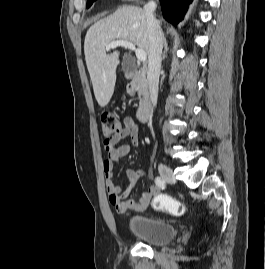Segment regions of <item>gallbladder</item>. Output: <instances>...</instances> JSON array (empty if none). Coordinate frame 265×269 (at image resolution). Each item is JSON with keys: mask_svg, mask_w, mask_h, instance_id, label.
<instances>
[{"mask_svg": "<svg viewBox=\"0 0 265 269\" xmlns=\"http://www.w3.org/2000/svg\"><path fill=\"white\" fill-rule=\"evenodd\" d=\"M123 70L126 71V72H130V71H133L134 70V67L132 64H129V63H124L123 64Z\"/></svg>", "mask_w": 265, "mask_h": 269, "instance_id": "bac80fb5", "label": "gallbladder"}]
</instances>
